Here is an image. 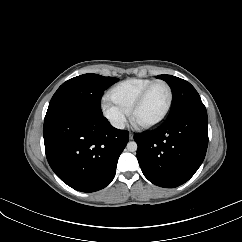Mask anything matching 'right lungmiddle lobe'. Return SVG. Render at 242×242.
I'll return each mask as SVG.
<instances>
[{
    "instance_id": "1",
    "label": "right lung middle lobe",
    "mask_w": 242,
    "mask_h": 242,
    "mask_svg": "<svg viewBox=\"0 0 242 242\" xmlns=\"http://www.w3.org/2000/svg\"><path fill=\"white\" fill-rule=\"evenodd\" d=\"M118 80L88 73L66 81L53 95L45 117L65 111H82L102 116L100 102L103 92Z\"/></svg>"
}]
</instances>
